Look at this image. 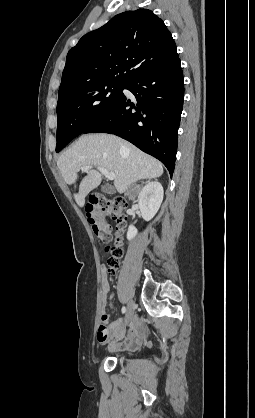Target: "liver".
Here are the masks:
<instances>
[{"instance_id": "6515ba94", "label": "liver", "mask_w": 255, "mask_h": 418, "mask_svg": "<svg viewBox=\"0 0 255 418\" xmlns=\"http://www.w3.org/2000/svg\"><path fill=\"white\" fill-rule=\"evenodd\" d=\"M92 165L115 174L114 186L119 193L142 179H153L163 174V165L131 143L110 134L81 136L58 159L57 166L69 185L77 180L81 167ZM102 181V174L90 169L74 194L76 203L83 207L86 196Z\"/></svg>"}]
</instances>
